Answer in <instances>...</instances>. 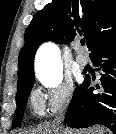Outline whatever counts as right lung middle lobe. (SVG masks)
Instances as JSON below:
<instances>
[{
    "mask_svg": "<svg viewBox=\"0 0 116 134\" xmlns=\"http://www.w3.org/2000/svg\"><path fill=\"white\" fill-rule=\"evenodd\" d=\"M32 83L33 82L26 84L23 87L22 91L19 94H17V96H16L17 108H16V111H15V114H14V117H13V122H12L13 126H18L22 122L23 113L25 111V106H26V103H27V99H28L29 93L32 89ZM79 88H80V86H77L74 93H76Z\"/></svg>",
    "mask_w": 116,
    "mask_h": 134,
    "instance_id": "obj_1",
    "label": "right lung middle lobe"
}]
</instances>
